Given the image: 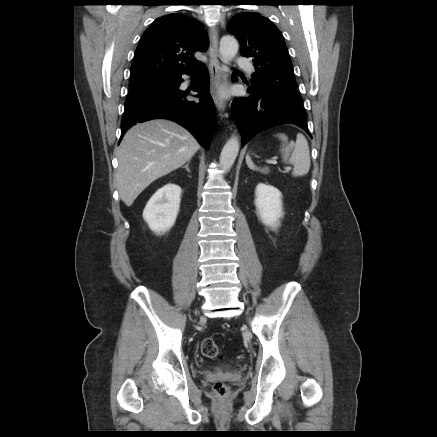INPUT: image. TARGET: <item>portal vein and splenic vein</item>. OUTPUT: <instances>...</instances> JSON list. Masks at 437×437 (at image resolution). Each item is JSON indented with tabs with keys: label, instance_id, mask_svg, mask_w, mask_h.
Returning <instances> with one entry per match:
<instances>
[{
	"label": "portal vein and splenic vein",
	"instance_id": "1",
	"mask_svg": "<svg viewBox=\"0 0 437 437\" xmlns=\"http://www.w3.org/2000/svg\"><path fill=\"white\" fill-rule=\"evenodd\" d=\"M267 163H270V164H274V165H276L277 164V161H275V160H269V161H267ZM291 168L290 167H286V170L287 171H289Z\"/></svg>",
	"mask_w": 437,
	"mask_h": 437
}]
</instances>
